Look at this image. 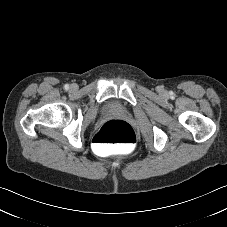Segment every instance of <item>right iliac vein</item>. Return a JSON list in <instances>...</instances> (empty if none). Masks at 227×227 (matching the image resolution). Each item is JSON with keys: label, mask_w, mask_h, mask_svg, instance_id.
<instances>
[{"label": "right iliac vein", "mask_w": 227, "mask_h": 227, "mask_svg": "<svg viewBox=\"0 0 227 227\" xmlns=\"http://www.w3.org/2000/svg\"><path fill=\"white\" fill-rule=\"evenodd\" d=\"M70 88H71L72 91H74V90L77 89V85L76 84H72Z\"/></svg>", "instance_id": "63e3f726"}]
</instances>
